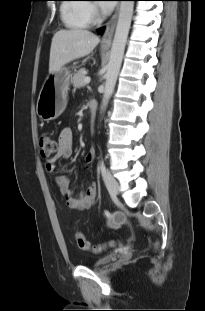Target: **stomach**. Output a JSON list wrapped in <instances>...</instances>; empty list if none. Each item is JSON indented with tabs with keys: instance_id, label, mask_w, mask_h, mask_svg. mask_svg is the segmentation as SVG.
Masks as SVG:
<instances>
[{
	"instance_id": "1",
	"label": "stomach",
	"mask_w": 205,
	"mask_h": 311,
	"mask_svg": "<svg viewBox=\"0 0 205 311\" xmlns=\"http://www.w3.org/2000/svg\"><path fill=\"white\" fill-rule=\"evenodd\" d=\"M70 80L71 74L65 67L54 73H49L39 93L36 107L37 114L42 120H54L63 112Z\"/></svg>"
}]
</instances>
